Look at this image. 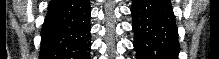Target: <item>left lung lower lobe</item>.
Instances as JSON below:
<instances>
[{"label": "left lung lower lobe", "instance_id": "0a47b994", "mask_svg": "<svg viewBox=\"0 0 219 59\" xmlns=\"http://www.w3.org/2000/svg\"><path fill=\"white\" fill-rule=\"evenodd\" d=\"M131 14L137 59H178L177 25L169 0H133Z\"/></svg>", "mask_w": 219, "mask_h": 59}]
</instances>
